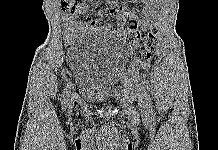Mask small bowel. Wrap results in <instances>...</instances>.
I'll return each instance as SVG.
<instances>
[{"label":"small bowel","instance_id":"1","mask_svg":"<svg viewBox=\"0 0 218 150\" xmlns=\"http://www.w3.org/2000/svg\"><path fill=\"white\" fill-rule=\"evenodd\" d=\"M92 0H83L76 6L71 14L64 16V41L67 46L73 44L74 40L87 31L102 32L119 39H125L126 34L132 29H149L157 17L160 0H140L144 9L137 13L128 6H118L116 0H107L111 7V14L115 18V24L98 22L103 18V10L94 16L88 15L83 21H78L79 16L86 14L89 10V3ZM77 55L75 48H70L68 60L73 63Z\"/></svg>","mask_w":218,"mask_h":150}]
</instances>
